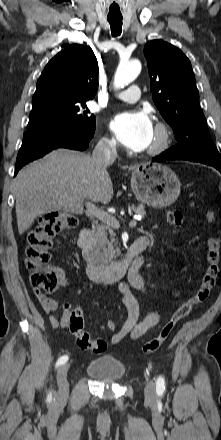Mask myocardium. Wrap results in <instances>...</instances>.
<instances>
[{
	"instance_id": "obj_1",
	"label": "myocardium",
	"mask_w": 221,
	"mask_h": 440,
	"mask_svg": "<svg viewBox=\"0 0 221 440\" xmlns=\"http://www.w3.org/2000/svg\"><path fill=\"white\" fill-rule=\"evenodd\" d=\"M156 141L147 150L146 154L154 156L166 151L172 140V132L168 124L164 121H158L155 124Z\"/></svg>"
}]
</instances>
